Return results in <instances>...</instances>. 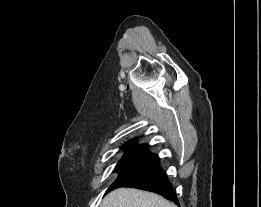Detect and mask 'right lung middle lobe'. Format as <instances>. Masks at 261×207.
Masks as SVG:
<instances>
[{
    "label": "right lung middle lobe",
    "mask_w": 261,
    "mask_h": 207,
    "mask_svg": "<svg viewBox=\"0 0 261 207\" xmlns=\"http://www.w3.org/2000/svg\"><path fill=\"white\" fill-rule=\"evenodd\" d=\"M159 165L156 161H142V160H132V161H120L116 167L115 171H120L117 179L108 188L106 194L116 188L123 186L125 183L140 176Z\"/></svg>",
    "instance_id": "right-lung-middle-lobe-1"
}]
</instances>
